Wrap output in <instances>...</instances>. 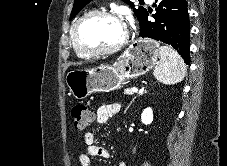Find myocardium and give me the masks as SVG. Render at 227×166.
Segmentation results:
<instances>
[{
	"instance_id": "obj_1",
	"label": "myocardium",
	"mask_w": 227,
	"mask_h": 166,
	"mask_svg": "<svg viewBox=\"0 0 227 166\" xmlns=\"http://www.w3.org/2000/svg\"><path fill=\"white\" fill-rule=\"evenodd\" d=\"M94 17H109L122 22L123 25L125 26L124 38L118 44L109 48L93 49V48H87L84 45H82V43L78 39L79 28L84 22ZM71 40H72L73 47L82 55H85L87 57L105 56L121 50L128 43L129 32H128L127 25L124 21V18L122 17L121 14L115 11H109V10H95L83 15L76 21L71 33Z\"/></svg>"
}]
</instances>
